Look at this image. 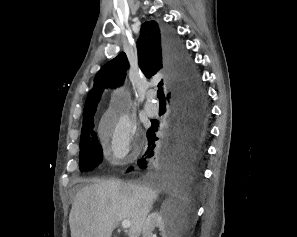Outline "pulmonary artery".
<instances>
[{"mask_svg": "<svg viewBox=\"0 0 297 237\" xmlns=\"http://www.w3.org/2000/svg\"><path fill=\"white\" fill-rule=\"evenodd\" d=\"M152 95L149 96V98H151ZM145 111L147 112L148 115L150 116H154L158 113V105L153 103L150 99L147 100L146 104H145Z\"/></svg>", "mask_w": 297, "mask_h": 237, "instance_id": "obj_1", "label": "pulmonary artery"}]
</instances>
